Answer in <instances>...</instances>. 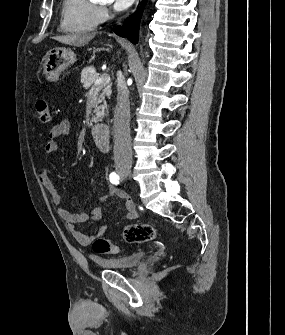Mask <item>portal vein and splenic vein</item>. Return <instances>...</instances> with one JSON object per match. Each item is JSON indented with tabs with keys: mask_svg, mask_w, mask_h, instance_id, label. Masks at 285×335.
I'll return each mask as SVG.
<instances>
[{
	"mask_svg": "<svg viewBox=\"0 0 285 335\" xmlns=\"http://www.w3.org/2000/svg\"><path fill=\"white\" fill-rule=\"evenodd\" d=\"M109 76H101V78H96L94 84H109Z\"/></svg>",
	"mask_w": 285,
	"mask_h": 335,
	"instance_id": "18ae733b",
	"label": "portal vein and splenic vein"
}]
</instances>
